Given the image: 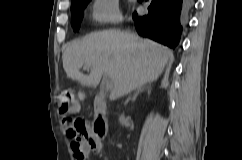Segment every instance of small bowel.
<instances>
[{"label":"small bowel","instance_id":"c3829d8e","mask_svg":"<svg viewBox=\"0 0 242 160\" xmlns=\"http://www.w3.org/2000/svg\"><path fill=\"white\" fill-rule=\"evenodd\" d=\"M76 111H78V107H77ZM94 142H98V141L95 140V138L93 137V135L91 133L90 127L87 126V124H86V135H85V137L82 140H80L78 148L73 147V149H74V151L77 155L78 160L81 159L79 157V154H82L85 158V156L90 153V151L93 149V143ZM84 158H83V160H84Z\"/></svg>","mask_w":242,"mask_h":160}]
</instances>
